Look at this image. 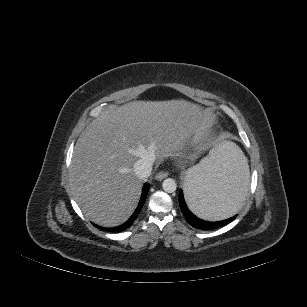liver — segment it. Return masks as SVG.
Instances as JSON below:
<instances>
[{
	"instance_id": "6515ba94",
	"label": "liver",
	"mask_w": 307,
	"mask_h": 307,
	"mask_svg": "<svg viewBox=\"0 0 307 307\" xmlns=\"http://www.w3.org/2000/svg\"><path fill=\"white\" fill-rule=\"evenodd\" d=\"M212 123L210 112L185 100L131 101L102 113L78 139L70 166L71 190L85 216L104 227L124 223L142 188L134 163L151 154L182 157Z\"/></svg>"
}]
</instances>
